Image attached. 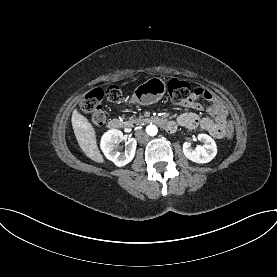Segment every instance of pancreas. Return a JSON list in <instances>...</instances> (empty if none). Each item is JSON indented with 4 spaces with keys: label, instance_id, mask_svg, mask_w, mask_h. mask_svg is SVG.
I'll use <instances>...</instances> for the list:
<instances>
[{
    "label": "pancreas",
    "instance_id": "cf45deb5",
    "mask_svg": "<svg viewBox=\"0 0 277 277\" xmlns=\"http://www.w3.org/2000/svg\"><path fill=\"white\" fill-rule=\"evenodd\" d=\"M142 123V119L141 118H136V117H130L128 121L125 122V125L128 127H132L134 126V124H141Z\"/></svg>",
    "mask_w": 277,
    "mask_h": 277
}]
</instances>
